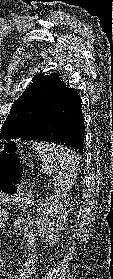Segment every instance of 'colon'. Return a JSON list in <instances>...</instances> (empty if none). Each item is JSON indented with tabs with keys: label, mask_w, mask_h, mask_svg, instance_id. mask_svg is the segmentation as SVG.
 Instances as JSON below:
<instances>
[{
	"label": "colon",
	"mask_w": 113,
	"mask_h": 279,
	"mask_svg": "<svg viewBox=\"0 0 113 279\" xmlns=\"http://www.w3.org/2000/svg\"><path fill=\"white\" fill-rule=\"evenodd\" d=\"M22 184L23 170L18 148L15 144H8L0 152V190L8 195H16L21 192Z\"/></svg>",
	"instance_id": "colon-1"
}]
</instances>
